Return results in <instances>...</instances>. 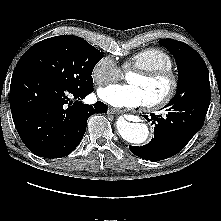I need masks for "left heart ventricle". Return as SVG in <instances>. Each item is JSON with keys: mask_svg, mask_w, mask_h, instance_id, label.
<instances>
[{"mask_svg": "<svg viewBox=\"0 0 221 221\" xmlns=\"http://www.w3.org/2000/svg\"><path fill=\"white\" fill-rule=\"evenodd\" d=\"M127 81L140 89L145 103L160 99L169 89V81L165 78L147 79L138 74L130 73L127 76Z\"/></svg>", "mask_w": 221, "mask_h": 221, "instance_id": "1", "label": "left heart ventricle"}]
</instances>
